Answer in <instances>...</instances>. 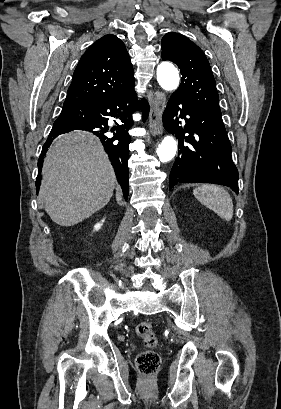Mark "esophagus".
Instances as JSON below:
<instances>
[{
    "instance_id": "obj_1",
    "label": "esophagus",
    "mask_w": 281,
    "mask_h": 409,
    "mask_svg": "<svg viewBox=\"0 0 281 409\" xmlns=\"http://www.w3.org/2000/svg\"><path fill=\"white\" fill-rule=\"evenodd\" d=\"M166 106V96L160 91H156L153 99V104L149 115L150 132L153 135L162 134L164 128L162 123V115Z\"/></svg>"
}]
</instances>
